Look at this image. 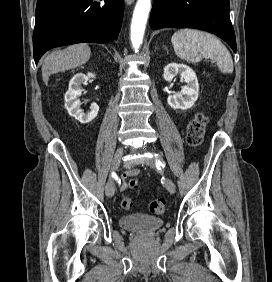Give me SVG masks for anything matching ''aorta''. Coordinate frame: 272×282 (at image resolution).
Here are the masks:
<instances>
[{"mask_svg": "<svg viewBox=\"0 0 272 282\" xmlns=\"http://www.w3.org/2000/svg\"><path fill=\"white\" fill-rule=\"evenodd\" d=\"M151 8V0H137L131 23V43L137 52L140 48Z\"/></svg>", "mask_w": 272, "mask_h": 282, "instance_id": "762f6f07", "label": "aorta"}]
</instances>
